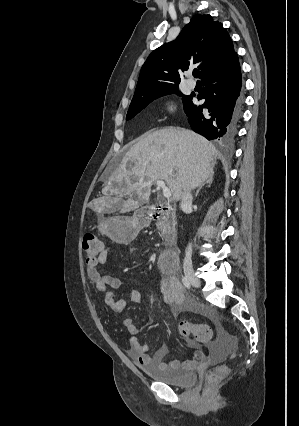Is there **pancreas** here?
I'll use <instances>...</instances> for the list:
<instances>
[{
	"label": "pancreas",
	"mask_w": 299,
	"mask_h": 426,
	"mask_svg": "<svg viewBox=\"0 0 299 426\" xmlns=\"http://www.w3.org/2000/svg\"><path fill=\"white\" fill-rule=\"evenodd\" d=\"M176 215L174 212H163L156 221V226L160 235L168 241L175 235Z\"/></svg>",
	"instance_id": "1"
}]
</instances>
